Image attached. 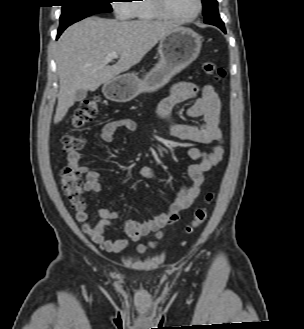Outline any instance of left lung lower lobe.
<instances>
[{
  "label": "left lung lower lobe",
  "mask_w": 304,
  "mask_h": 329,
  "mask_svg": "<svg viewBox=\"0 0 304 329\" xmlns=\"http://www.w3.org/2000/svg\"><path fill=\"white\" fill-rule=\"evenodd\" d=\"M204 22L207 24L215 25L219 27L224 33H226L224 23L219 16L217 8L213 9L205 16Z\"/></svg>",
  "instance_id": "left-lung-lower-lobe-1"
}]
</instances>
